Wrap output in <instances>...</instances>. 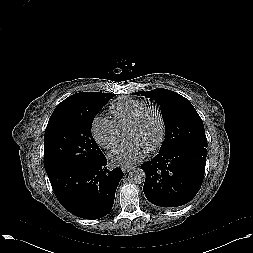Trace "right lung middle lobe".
Here are the masks:
<instances>
[{"label":"right lung middle lobe","mask_w":253,"mask_h":253,"mask_svg":"<svg viewBox=\"0 0 253 253\" xmlns=\"http://www.w3.org/2000/svg\"><path fill=\"white\" fill-rule=\"evenodd\" d=\"M115 94L96 93L84 102L57 106L44 136V167L47 173L98 159L103 153L93 139L94 117Z\"/></svg>","instance_id":"right-lung-middle-lobe-1"}]
</instances>
